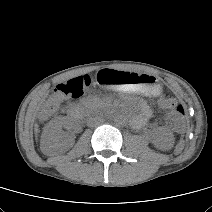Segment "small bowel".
Instances as JSON below:
<instances>
[{"label": "small bowel", "mask_w": 212, "mask_h": 212, "mask_svg": "<svg viewBox=\"0 0 212 212\" xmlns=\"http://www.w3.org/2000/svg\"><path fill=\"white\" fill-rule=\"evenodd\" d=\"M143 113L144 114H148L149 113V109L146 106H143Z\"/></svg>", "instance_id": "c3829d8e"}]
</instances>
